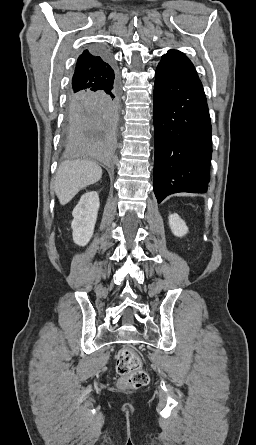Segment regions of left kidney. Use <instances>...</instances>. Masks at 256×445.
Masks as SVG:
<instances>
[{"label":"left kidney","mask_w":256,"mask_h":445,"mask_svg":"<svg viewBox=\"0 0 256 445\" xmlns=\"http://www.w3.org/2000/svg\"><path fill=\"white\" fill-rule=\"evenodd\" d=\"M169 225L172 233L175 236L182 237L187 234L188 227L183 219L178 214H172L169 216Z\"/></svg>","instance_id":"left-kidney-1"}]
</instances>
